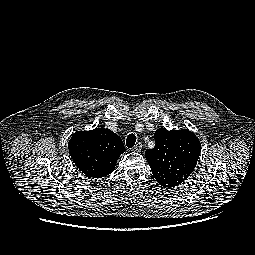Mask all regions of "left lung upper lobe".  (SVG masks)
Wrapping results in <instances>:
<instances>
[{"label":"left lung upper lobe","mask_w":255,"mask_h":255,"mask_svg":"<svg viewBox=\"0 0 255 255\" xmlns=\"http://www.w3.org/2000/svg\"><path fill=\"white\" fill-rule=\"evenodd\" d=\"M155 147L145 157L156 181L164 188L183 183L193 172L200 156L201 144L188 129L159 128L154 134Z\"/></svg>","instance_id":"5c2ea615"}]
</instances>
